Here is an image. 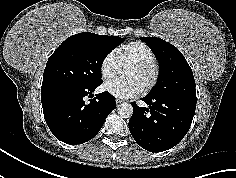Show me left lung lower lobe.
I'll return each mask as SVG.
<instances>
[{
  "label": "left lung lower lobe",
  "mask_w": 236,
  "mask_h": 178,
  "mask_svg": "<svg viewBox=\"0 0 236 178\" xmlns=\"http://www.w3.org/2000/svg\"><path fill=\"white\" fill-rule=\"evenodd\" d=\"M148 108L131 103L133 115L129 130L145 150L162 152L177 145L188 132L196 108V99L146 96Z\"/></svg>",
  "instance_id": "left-lung-lower-lobe-1"
}]
</instances>
